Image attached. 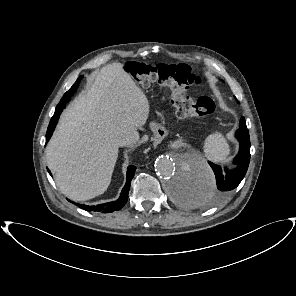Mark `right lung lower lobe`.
Wrapping results in <instances>:
<instances>
[{
	"mask_svg": "<svg viewBox=\"0 0 296 296\" xmlns=\"http://www.w3.org/2000/svg\"><path fill=\"white\" fill-rule=\"evenodd\" d=\"M82 77L83 76H80L77 79V81L74 83V85L64 94L61 101L57 105V107L55 109V113H54L53 117L51 118V121H50L48 129H47L46 142H48V140L52 136L53 131L56 126V123L59 119L60 113L62 112L63 108H65V103L69 101L71 95H73L74 92L76 91L78 84H79L80 80L82 79ZM135 170H136V167H134L132 165L128 167L126 184H125L124 188L122 189L120 197L117 200L112 201V202H108V203H104V204H99L96 206H88V205H84V204H77V205L79 207H81L82 209H84L86 211H90V212L109 213V212H114V211L120 210L127 202L130 184H131V180L134 176ZM48 172L51 175V172L49 170H48Z\"/></svg>",
	"mask_w": 296,
	"mask_h": 296,
	"instance_id": "1",
	"label": "right lung lower lobe"
}]
</instances>
